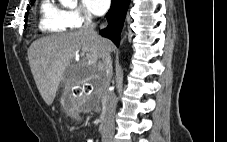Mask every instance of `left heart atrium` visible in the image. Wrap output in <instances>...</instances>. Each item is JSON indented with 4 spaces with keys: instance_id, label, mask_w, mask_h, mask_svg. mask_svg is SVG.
Listing matches in <instances>:
<instances>
[{
    "instance_id": "1",
    "label": "left heart atrium",
    "mask_w": 227,
    "mask_h": 142,
    "mask_svg": "<svg viewBox=\"0 0 227 142\" xmlns=\"http://www.w3.org/2000/svg\"><path fill=\"white\" fill-rule=\"evenodd\" d=\"M111 0H83L85 7L95 15H103L109 8Z\"/></svg>"
}]
</instances>
